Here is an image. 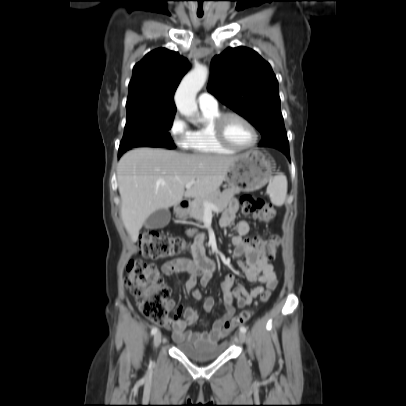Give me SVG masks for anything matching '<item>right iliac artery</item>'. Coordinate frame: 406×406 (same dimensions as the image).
<instances>
[{
	"label": "right iliac artery",
	"mask_w": 406,
	"mask_h": 406,
	"mask_svg": "<svg viewBox=\"0 0 406 406\" xmlns=\"http://www.w3.org/2000/svg\"><path fill=\"white\" fill-rule=\"evenodd\" d=\"M158 332V328L157 327H153L151 330V335H154Z\"/></svg>",
	"instance_id": "1"
}]
</instances>
